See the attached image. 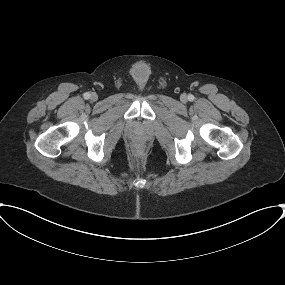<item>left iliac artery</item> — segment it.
<instances>
[{
  "mask_svg": "<svg viewBox=\"0 0 285 285\" xmlns=\"http://www.w3.org/2000/svg\"><path fill=\"white\" fill-rule=\"evenodd\" d=\"M194 99H195L194 95H192V94L188 95V100L189 101H193Z\"/></svg>",
  "mask_w": 285,
  "mask_h": 285,
  "instance_id": "1",
  "label": "left iliac artery"
}]
</instances>
